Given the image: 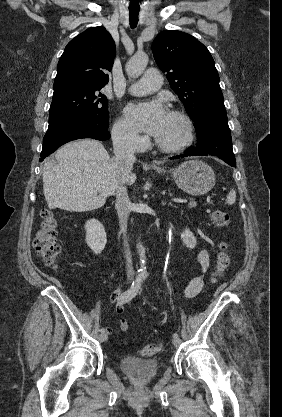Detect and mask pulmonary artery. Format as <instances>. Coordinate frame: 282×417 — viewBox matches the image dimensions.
I'll return each mask as SVG.
<instances>
[{
	"label": "pulmonary artery",
	"mask_w": 282,
	"mask_h": 417,
	"mask_svg": "<svg viewBox=\"0 0 282 417\" xmlns=\"http://www.w3.org/2000/svg\"><path fill=\"white\" fill-rule=\"evenodd\" d=\"M162 82L160 70H145L142 78L128 87V92L132 95L150 94L158 90Z\"/></svg>",
	"instance_id": "e3ab8cb5"
}]
</instances>
